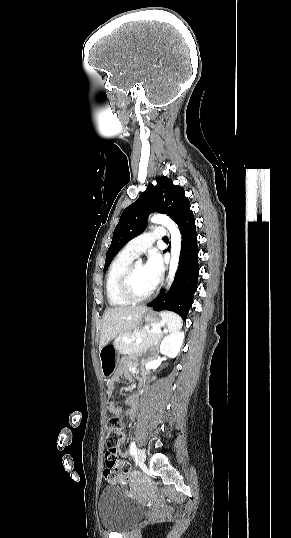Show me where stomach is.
<instances>
[{
    "mask_svg": "<svg viewBox=\"0 0 291 538\" xmlns=\"http://www.w3.org/2000/svg\"><path fill=\"white\" fill-rule=\"evenodd\" d=\"M148 325L164 324V319H160L152 312H146L143 316ZM101 362V373L104 379H110L115 373L118 366V351L114 345H105L99 350Z\"/></svg>",
    "mask_w": 291,
    "mask_h": 538,
    "instance_id": "stomach-1",
    "label": "stomach"
}]
</instances>
